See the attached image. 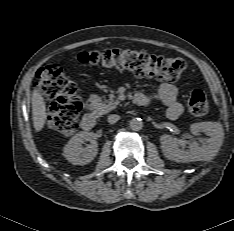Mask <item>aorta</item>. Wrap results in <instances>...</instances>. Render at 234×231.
<instances>
[{"instance_id":"762f6f07","label":"aorta","mask_w":234,"mask_h":231,"mask_svg":"<svg viewBox=\"0 0 234 231\" xmlns=\"http://www.w3.org/2000/svg\"><path fill=\"white\" fill-rule=\"evenodd\" d=\"M129 125L131 130L140 131L143 128V121L140 118H133Z\"/></svg>"}]
</instances>
